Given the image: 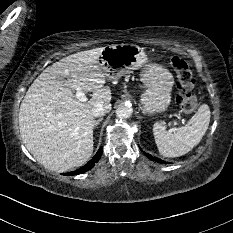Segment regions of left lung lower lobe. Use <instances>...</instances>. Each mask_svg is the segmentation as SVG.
<instances>
[{
  "instance_id": "0a47b994",
  "label": "left lung lower lobe",
  "mask_w": 233,
  "mask_h": 233,
  "mask_svg": "<svg viewBox=\"0 0 233 233\" xmlns=\"http://www.w3.org/2000/svg\"><path fill=\"white\" fill-rule=\"evenodd\" d=\"M145 155H146L148 158H150L151 160L156 161V162H158V163H165V164L167 163V162H165V161H163V160H160V159H158V158H156V157L151 156L150 154L145 153Z\"/></svg>"
}]
</instances>
